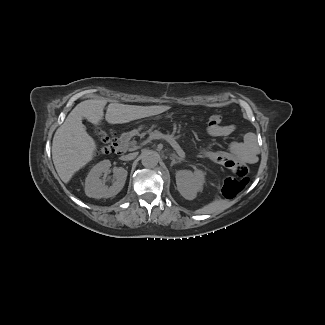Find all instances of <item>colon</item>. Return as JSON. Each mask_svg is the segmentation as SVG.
Instances as JSON below:
<instances>
[{
	"label": "colon",
	"instance_id": "obj_1",
	"mask_svg": "<svg viewBox=\"0 0 325 325\" xmlns=\"http://www.w3.org/2000/svg\"><path fill=\"white\" fill-rule=\"evenodd\" d=\"M222 122V118L218 115H212L207 120V125L210 127L219 126ZM100 139L102 141V152H114L116 140L112 136L111 133L106 131L100 132ZM249 169L245 165H237L234 168L233 175L225 179L222 193L225 197L232 199L236 197L240 192L244 190V188L249 183Z\"/></svg>",
	"mask_w": 325,
	"mask_h": 325
}]
</instances>
